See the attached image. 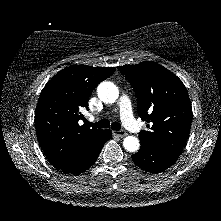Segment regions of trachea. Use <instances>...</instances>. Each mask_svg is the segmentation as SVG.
I'll list each match as a JSON object with an SVG mask.
<instances>
[{"label": "trachea", "mask_w": 221, "mask_h": 221, "mask_svg": "<svg viewBox=\"0 0 221 221\" xmlns=\"http://www.w3.org/2000/svg\"><path fill=\"white\" fill-rule=\"evenodd\" d=\"M89 126L99 127V128H109L111 127L112 130L118 131L121 129V125L118 122L110 123L107 119H102L96 123H88Z\"/></svg>", "instance_id": "1"}]
</instances>
